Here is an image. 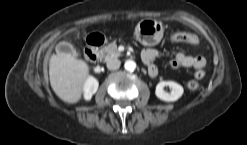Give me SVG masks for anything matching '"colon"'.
Masks as SVG:
<instances>
[{
	"label": "colon",
	"instance_id": "1",
	"mask_svg": "<svg viewBox=\"0 0 247 145\" xmlns=\"http://www.w3.org/2000/svg\"><path fill=\"white\" fill-rule=\"evenodd\" d=\"M170 39L172 41H182L185 39V36L182 35L180 32L174 33L171 35ZM205 75L204 70H199L195 73V80H191L187 83L186 87L188 90L194 91L197 90L200 87L199 80L202 79Z\"/></svg>",
	"mask_w": 247,
	"mask_h": 145
}]
</instances>
